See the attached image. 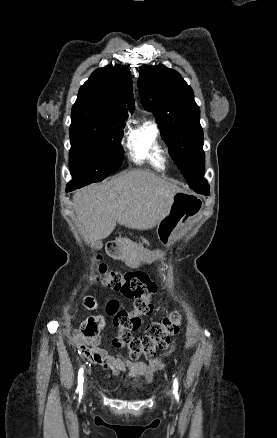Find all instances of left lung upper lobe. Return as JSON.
Returning a JSON list of instances; mask_svg holds the SVG:
<instances>
[{"label": "left lung upper lobe", "instance_id": "left-lung-upper-lobe-1", "mask_svg": "<svg viewBox=\"0 0 277 438\" xmlns=\"http://www.w3.org/2000/svg\"><path fill=\"white\" fill-rule=\"evenodd\" d=\"M138 88L144 108L155 114L169 153L197 193L209 195L204 179L203 130L194 93L181 75L164 65H142Z\"/></svg>", "mask_w": 277, "mask_h": 438}]
</instances>
